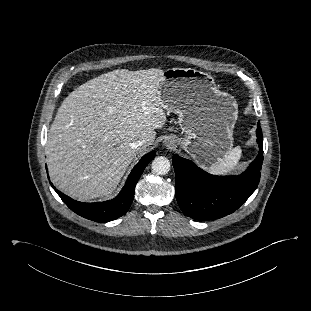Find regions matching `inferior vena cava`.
Instances as JSON below:
<instances>
[{"instance_id":"602c4592","label":"inferior vena cava","mask_w":311,"mask_h":311,"mask_svg":"<svg viewBox=\"0 0 311 311\" xmlns=\"http://www.w3.org/2000/svg\"><path fill=\"white\" fill-rule=\"evenodd\" d=\"M146 143V141L144 139L142 140H136L132 143H130V146L132 149H139L140 147H142L144 144Z\"/></svg>"}]
</instances>
